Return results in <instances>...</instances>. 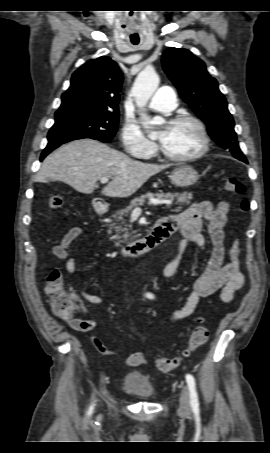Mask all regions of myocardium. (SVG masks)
<instances>
[{"label": "myocardium", "instance_id": "1", "mask_svg": "<svg viewBox=\"0 0 270 453\" xmlns=\"http://www.w3.org/2000/svg\"><path fill=\"white\" fill-rule=\"evenodd\" d=\"M181 123H191L194 126H196V128L199 131L200 137H201L202 145H201V148L193 154L185 155V156H175V155H171V154H168L167 152H165V150L163 149V147L160 144L158 146V151H159L160 155L165 160L174 162V163H186V162L195 161V160L203 157L209 151V148H210V138H209L206 126L199 118H197L195 116H191V115H180V116H176V117L170 119V121H169V124H181Z\"/></svg>", "mask_w": 270, "mask_h": 453}]
</instances>
